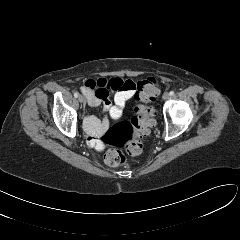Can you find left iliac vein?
Returning <instances> with one entry per match:
<instances>
[{
	"mask_svg": "<svg viewBox=\"0 0 240 240\" xmlns=\"http://www.w3.org/2000/svg\"><path fill=\"white\" fill-rule=\"evenodd\" d=\"M170 94L168 92H164L162 99L167 100L169 98Z\"/></svg>",
	"mask_w": 240,
	"mask_h": 240,
	"instance_id": "obj_1",
	"label": "left iliac vein"
}]
</instances>
